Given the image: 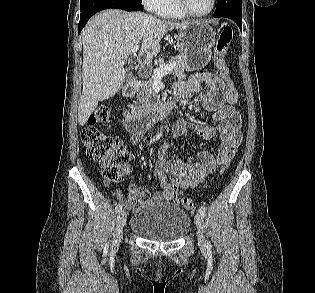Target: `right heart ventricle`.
<instances>
[{
	"label": "right heart ventricle",
	"instance_id": "right-heart-ventricle-1",
	"mask_svg": "<svg viewBox=\"0 0 315 293\" xmlns=\"http://www.w3.org/2000/svg\"><path fill=\"white\" fill-rule=\"evenodd\" d=\"M157 14L168 19H183L187 17L179 7L177 0H161Z\"/></svg>",
	"mask_w": 315,
	"mask_h": 293
}]
</instances>
